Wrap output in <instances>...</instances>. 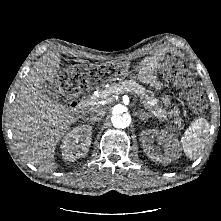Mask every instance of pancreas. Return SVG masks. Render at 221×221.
<instances>
[{
  "mask_svg": "<svg viewBox=\"0 0 221 221\" xmlns=\"http://www.w3.org/2000/svg\"><path fill=\"white\" fill-rule=\"evenodd\" d=\"M120 92H127L137 94L143 106L150 111L155 117L160 120L167 121L168 119H174V124L178 125L179 129L183 128L182 119L179 117L178 109L168 111L159 99L155 97L154 93L146 90L143 86L134 80H125L118 83H113L109 87L102 90L99 94L93 96V101L107 99L110 96L118 94ZM94 103V102H92Z\"/></svg>",
  "mask_w": 221,
  "mask_h": 221,
  "instance_id": "1",
  "label": "pancreas"
}]
</instances>
